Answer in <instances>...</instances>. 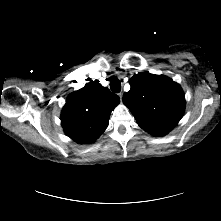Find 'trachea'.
Wrapping results in <instances>:
<instances>
[{
	"label": "trachea",
	"mask_w": 221,
	"mask_h": 221,
	"mask_svg": "<svg viewBox=\"0 0 221 221\" xmlns=\"http://www.w3.org/2000/svg\"><path fill=\"white\" fill-rule=\"evenodd\" d=\"M110 88L115 93H119L120 92V90H121V82H120V80L117 77L113 76V77L110 78Z\"/></svg>",
	"instance_id": "3493384b"
}]
</instances>
